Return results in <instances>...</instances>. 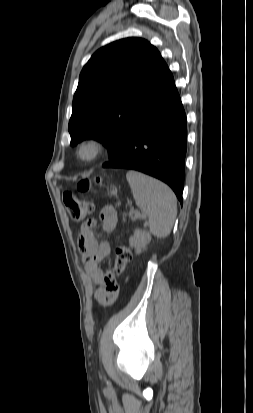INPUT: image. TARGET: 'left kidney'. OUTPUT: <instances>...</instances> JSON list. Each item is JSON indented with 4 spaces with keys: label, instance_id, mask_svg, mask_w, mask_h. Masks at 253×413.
I'll return each instance as SVG.
<instances>
[{
    "label": "left kidney",
    "instance_id": "5707ae66",
    "mask_svg": "<svg viewBox=\"0 0 253 413\" xmlns=\"http://www.w3.org/2000/svg\"><path fill=\"white\" fill-rule=\"evenodd\" d=\"M151 241V235L141 229H136L134 235L129 239V245L135 248L136 253L140 254L142 249Z\"/></svg>",
    "mask_w": 253,
    "mask_h": 413
}]
</instances>
